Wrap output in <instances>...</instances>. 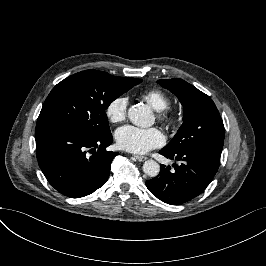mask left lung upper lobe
I'll return each mask as SVG.
<instances>
[{
  "instance_id": "left-lung-upper-lobe-1",
  "label": "left lung upper lobe",
  "mask_w": 266,
  "mask_h": 266,
  "mask_svg": "<svg viewBox=\"0 0 266 266\" xmlns=\"http://www.w3.org/2000/svg\"><path fill=\"white\" fill-rule=\"evenodd\" d=\"M157 83L176 95L183 106V124L164 148L174 152L192 146L222 149L224 125L211 98L182 79Z\"/></svg>"
}]
</instances>
